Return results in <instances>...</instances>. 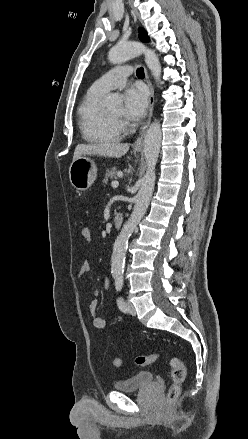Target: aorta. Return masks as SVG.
Wrapping results in <instances>:
<instances>
[{"mask_svg": "<svg viewBox=\"0 0 248 439\" xmlns=\"http://www.w3.org/2000/svg\"><path fill=\"white\" fill-rule=\"evenodd\" d=\"M139 54H144L147 67L150 69L155 80L160 82L161 65L158 56L153 50L145 47L140 42L133 41L118 44L110 49L108 58L111 63L120 64ZM117 101L118 98L116 96H109L104 104L107 108H112L117 104ZM161 138V126L159 121L155 120L150 124L144 139L146 173L141 180L140 189L135 197L133 211L128 221L123 225L113 245L111 258V273L113 276H122L128 240L149 206L155 186V166L159 156Z\"/></svg>", "mask_w": 248, "mask_h": 439, "instance_id": "1", "label": "aorta"}]
</instances>
